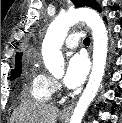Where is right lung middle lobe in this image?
Instances as JSON below:
<instances>
[{"mask_svg":"<svg viewBox=\"0 0 122 123\" xmlns=\"http://www.w3.org/2000/svg\"><path fill=\"white\" fill-rule=\"evenodd\" d=\"M22 67L21 65L16 66L15 69L11 71V80L18 78L21 75Z\"/></svg>","mask_w":122,"mask_h":123,"instance_id":"dd1d6c3e","label":"right lung middle lobe"}]
</instances>
